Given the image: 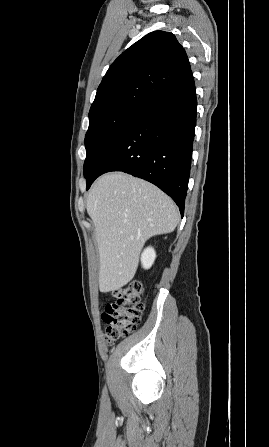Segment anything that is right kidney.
I'll return each instance as SVG.
<instances>
[{
    "mask_svg": "<svg viewBox=\"0 0 269 447\" xmlns=\"http://www.w3.org/2000/svg\"><path fill=\"white\" fill-rule=\"evenodd\" d=\"M156 257V251L154 247H146L141 255V263L144 269H149L152 263H154V259Z\"/></svg>",
    "mask_w": 269,
    "mask_h": 447,
    "instance_id": "ca27d5eb",
    "label": "right kidney"
}]
</instances>
